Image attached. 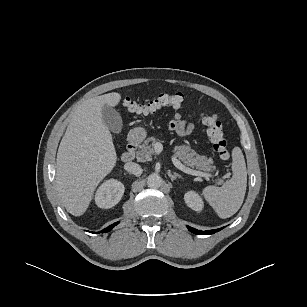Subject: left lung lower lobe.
I'll use <instances>...</instances> for the list:
<instances>
[{
	"instance_id": "left-lung-lower-lobe-1",
	"label": "left lung lower lobe",
	"mask_w": 307,
	"mask_h": 307,
	"mask_svg": "<svg viewBox=\"0 0 307 307\" xmlns=\"http://www.w3.org/2000/svg\"><path fill=\"white\" fill-rule=\"evenodd\" d=\"M187 228H188L191 232H193V233H195V234H199V235H203V234H214L215 232L220 231V229L210 230V231H198L197 229H194V228H192V227H190V226H187Z\"/></svg>"
}]
</instances>
